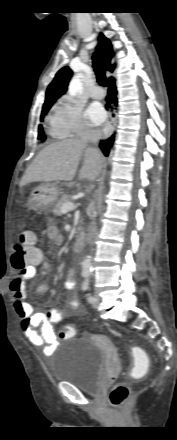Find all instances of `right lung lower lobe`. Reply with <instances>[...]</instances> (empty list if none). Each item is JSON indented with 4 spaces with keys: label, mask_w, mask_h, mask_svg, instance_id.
I'll return each mask as SVG.
<instances>
[{
    "label": "right lung lower lobe",
    "mask_w": 177,
    "mask_h": 440,
    "mask_svg": "<svg viewBox=\"0 0 177 440\" xmlns=\"http://www.w3.org/2000/svg\"><path fill=\"white\" fill-rule=\"evenodd\" d=\"M108 95L106 97V101H107V105L106 108H108L109 106L111 108L114 107V105L117 104V90H116V86H115V79L113 77L108 79ZM113 140H114V135L112 137H110L109 139H107L106 141H101L100 143V148L102 149L103 153L108 156L109 154V150L113 144Z\"/></svg>",
    "instance_id": "right-lung-lower-lobe-1"
}]
</instances>
